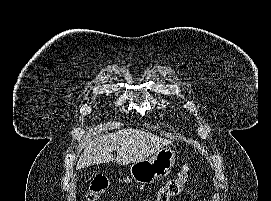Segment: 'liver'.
I'll return each instance as SVG.
<instances>
[{"mask_svg": "<svg viewBox=\"0 0 271 201\" xmlns=\"http://www.w3.org/2000/svg\"><path fill=\"white\" fill-rule=\"evenodd\" d=\"M171 143L172 140L138 129L126 128L106 134H99L91 129L85 138V148L79 157L76 169L81 170L110 161L128 165L148 158ZM115 150L116 158L112 154Z\"/></svg>", "mask_w": 271, "mask_h": 201, "instance_id": "liver-1", "label": "liver"}]
</instances>
